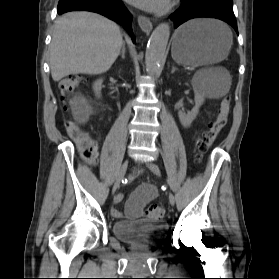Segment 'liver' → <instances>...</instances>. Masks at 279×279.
<instances>
[{"label": "liver", "mask_w": 279, "mask_h": 279, "mask_svg": "<svg viewBox=\"0 0 279 279\" xmlns=\"http://www.w3.org/2000/svg\"><path fill=\"white\" fill-rule=\"evenodd\" d=\"M123 45L118 25L90 12H70L55 24L50 44L54 81L69 75H97L108 71Z\"/></svg>", "instance_id": "obj_1"}]
</instances>
